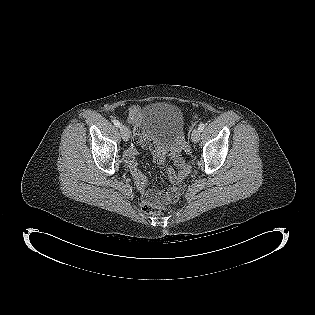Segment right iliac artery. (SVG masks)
I'll use <instances>...</instances> for the list:
<instances>
[{
	"instance_id": "right-iliac-artery-1",
	"label": "right iliac artery",
	"mask_w": 315,
	"mask_h": 315,
	"mask_svg": "<svg viewBox=\"0 0 315 315\" xmlns=\"http://www.w3.org/2000/svg\"><path fill=\"white\" fill-rule=\"evenodd\" d=\"M113 123H114V125L116 127H120L121 126V124H120V122L118 120H114Z\"/></svg>"
}]
</instances>
